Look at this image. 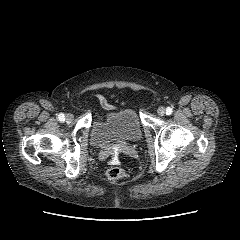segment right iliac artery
Here are the masks:
<instances>
[{
  "label": "right iliac artery",
  "instance_id": "obj_1",
  "mask_svg": "<svg viewBox=\"0 0 240 240\" xmlns=\"http://www.w3.org/2000/svg\"><path fill=\"white\" fill-rule=\"evenodd\" d=\"M58 119H59L60 121H64V120H65V115H64L63 113H60V114L58 115Z\"/></svg>",
  "mask_w": 240,
  "mask_h": 240
}]
</instances>
